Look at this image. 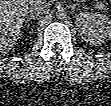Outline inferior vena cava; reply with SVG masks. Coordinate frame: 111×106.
I'll return each instance as SVG.
<instances>
[{
    "label": "inferior vena cava",
    "instance_id": "602c4592",
    "mask_svg": "<svg viewBox=\"0 0 111 106\" xmlns=\"http://www.w3.org/2000/svg\"><path fill=\"white\" fill-rule=\"evenodd\" d=\"M48 3L46 1L35 0L31 1V14L36 16L48 13L49 9L47 8Z\"/></svg>",
    "mask_w": 111,
    "mask_h": 106
}]
</instances>
